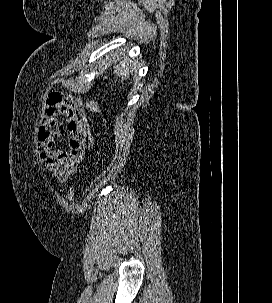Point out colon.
<instances>
[{
    "label": "colon",
    "mask_w": 272,
    "mask_h": 303,
    "mask_svg": "<svg viewBox=\"0 0 272 303\" xmlns=\"http://www.w3.org/2000/svg\"><path fill=\"white\" fill-rule=\"evenodd\" d=\"M106 97V96H105ZM87 108L90 112L92 113H97L99 111V105H98V101L94 100V101H90L87 105ZM67 198L69 200H73L74 198V191L72 188L69 189L68 194H67Z\"/></svg>",
    "instance_id": "obj_1"
}]
</instances>
